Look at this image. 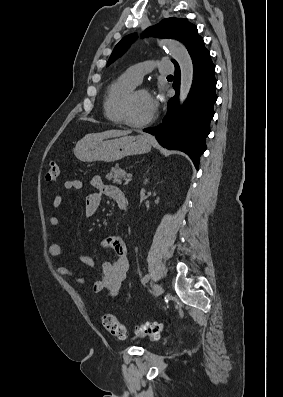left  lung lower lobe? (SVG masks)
<instances>
[{"mask_svg":"<svg viewBox=\"0 0 283 397\" xmlns=\"http://www.w3.org/2000/svg\"><path fill=\"white\" fill-rule=\"evenodd\" d=\"M189 54L194 74L186 102L182 107L178 106L180 68L176 64L173 82L176 96L168 102L167 115L160 125L144 131L155 135L161 146L185 152L198 169L199 157L206 150L205 138L210 133L213 105L217 100L215 65L204 43Z\"/></svg>","mask_w":283,"mask_h":397,"instance_id":"1","label":"left lung lower lobe"}]
</instances>
